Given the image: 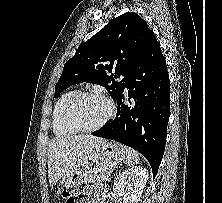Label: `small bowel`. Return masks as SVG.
Wrapping results in <instances>:
<instances>
[{
	"instance_id": "1",
	"label": "small bowel",
	"mask_w": 222,
	"mask_h": 203,
	"mask_svg": "<svg viewBox=\"0 0 222 203\" xmlns=\"http://www.w3.org/2000/svg\"><path fill=\"white\" fill-rule=\"evenodd\" d=\"M93 196L95 197L94 203H104L97 196L93 195L92 190L88 189V188L81 190L76 195H73L74 203H81V201L79 199H88V198H91ZM85 203H90V202H85Z\"/></svg>"
}]
</instances>
